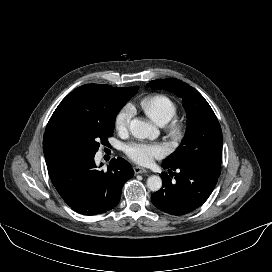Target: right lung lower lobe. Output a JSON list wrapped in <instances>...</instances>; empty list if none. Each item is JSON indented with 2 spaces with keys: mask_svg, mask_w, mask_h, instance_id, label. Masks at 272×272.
Wrapping results in <instances>:
<instances>
[{
  "mask_svg": "<svg viewBox=\"0 0 272 272\" xmlns=\"http://www.w3.org/2000/svg\"><path fill=\"white\" fill-rule=\"evenodd\" d=\"M94 156L47 164L60 196L73 210L85 215H97L114 208L120 201L123 185L134 175L131 165L121 157L112 159L107 171H103L97 168Z\"/></svg>",
  "mask_w": 272,
  "mask_h": 272,
  "instance_id": "obj_1",
  "label": "right lung lower lobe"
}]
</instances>
